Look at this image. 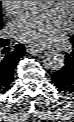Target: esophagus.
<instances>
[{"label": "esophagus", "mask_w": 74, "mask_h": 122, "mask_svg": "<svg viewBox=\"0 0 74 122\" xmlns=\"http://www.w3.org/2000/svg\"><path fill=\"white\" fill-rule=\"evenodd\" d=\"M46 50L44 46H36V45H26V51L29 53H38Z\"/></svg>", "instance_id": "obj_1"}]
</instances>
